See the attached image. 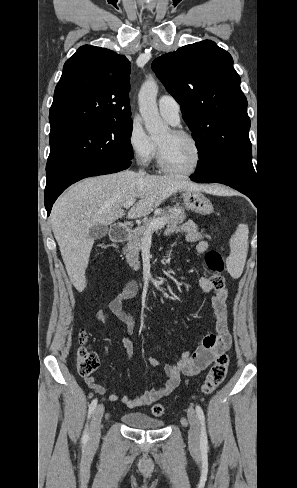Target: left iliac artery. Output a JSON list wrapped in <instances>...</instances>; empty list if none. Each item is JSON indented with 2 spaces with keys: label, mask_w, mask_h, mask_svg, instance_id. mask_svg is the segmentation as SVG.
<instances>
[{
  "label": "left iliac artery",
  "mask_w": 297,
  "mask_h": 488,
  "mask_svg": "<svg viewBox=\"0 0 297 488\" xmlns=\"http://www.w3.org/2000/svg\"><path fill=\"white\" fill-rule=\"evenodd\" d=\"M196 413L201 423L200 448L203 452H206L208 450V440L205 427V416L199 405H196Z\"/></svg>",
  "instance_id": "44dca946"
}]
</instances>
